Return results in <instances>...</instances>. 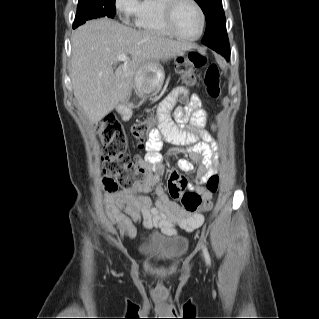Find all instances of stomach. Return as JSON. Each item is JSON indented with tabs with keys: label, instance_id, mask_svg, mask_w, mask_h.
Wrapping results in <instances>:
<instances>
[{
	"label": "stomach",
	"instance_id": "1",
	"mask_svg": "<svg viewBox=\"0 0 319 319\" xmlns=\"http://www.w3.org/2000/svg\"><path fill=\"white\" fill-rule=\"evenodd\" d=\"M164 82V71L156 61H147L137 70L134 77V88L139 98L156 95Z\"/></svg>",
	"mask_w": 319,
	"mask_h": 319
}]
</instances>
